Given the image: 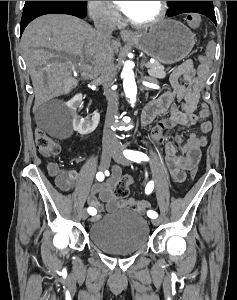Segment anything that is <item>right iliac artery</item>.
Listing matches in <instances>:
<instances>
[{"mask_svg": "<svg viewBox=\"0 0 237 300\" xmlns=\"http://www.w3.org/2000/svg\"><path fill=\"white\" fill-rule=\"evenodd\" d=\"M96 178H97L98 181H103L104 180L103 172H98L96 174ZM88 213L91 214V215H95L97 213V211L94 207H89L88 208Z\"/></svg>", "mask_w": 237, "mask_h": 300, "instance_id": "82829eb1", "label": "right iliac artery"}]
</instances>
